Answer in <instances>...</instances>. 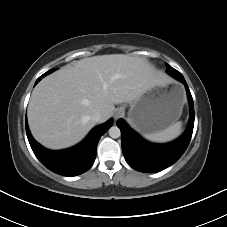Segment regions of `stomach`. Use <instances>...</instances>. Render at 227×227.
Here are the masks:
<instances>
[{"mask_svg": "<svg viewBox=\"0 0 227 227\" xmlns=\"http://www.w3.org/2000/svg\"><path fill=\"white\" fill-rule=\"evenodd\" d=\"M184 100L180 86L152 87L130 103L127 120L142 133L162 131L180 117Z\"/></svg>", "mask_w": 227, "mask_h": 227, "instance_id": "0dacf381", "label": "stomach"}]
</instances>
